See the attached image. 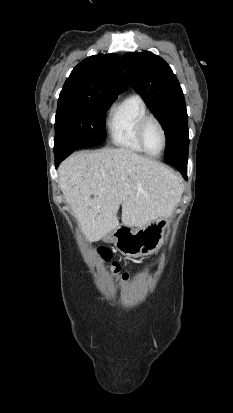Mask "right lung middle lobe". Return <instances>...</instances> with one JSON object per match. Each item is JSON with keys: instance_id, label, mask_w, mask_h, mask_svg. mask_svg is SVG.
<instances>
[{"instance_id": "right-lung-middle-lobe-1", "label": "right lung middle lobe", "mask_w": 233, "mask_h": 413, "mask_svg": "<svg viewBox=\"0 0 233 413\" xmlns=\"http://www.w3.org/2000/svg\"><path fill=\"white\" fill-rule=\"evenodd\" d=\"M116 98L60 93L55 117L54 154L104 142L105 113Z\"/></svg>"}]
</instances>
